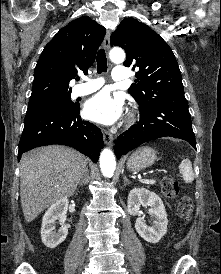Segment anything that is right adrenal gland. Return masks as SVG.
I'll return each mask as SVG.
<instances>
[{
  "label": "right adrenal gland",
  "instance_id": "obj_1",
  "mask_svg": "<svg viewBox=\"0 0 221 274\" xmlns=\"http://www.w3.org/2000/svg\"><path fill=\"white\" fill-rule=\"evenodd\" d=\"M88 178H89V170H88V168H86L85 171H84V174H83V176H82V178L79 182V187L82 186V185L87 184Z\"/></svg>",
  "mask_w": 221,
  "mask_h": 274
}]
</instances>
